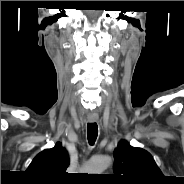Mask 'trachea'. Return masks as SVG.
<instances>
[{"label":"trachea","instance_id":"obj_1","mask_svg":"<svg viewBox=\"0 0 184 184\" xmlns=\"http://www.w3.org/2000/svg\"><path fill=\"white\" fill-rule=\"evenodd\" d=\"M87 130L88 141L91 145H93L98 136V126L96 123H88Z\"/></svg>","mask_w":184,"mask_h":184}]
</instances>
